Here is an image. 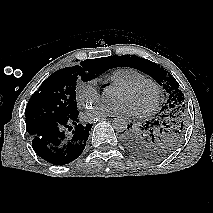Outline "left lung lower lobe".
<instances>
[{"label": "left lung lower lobe", "instance_id": "left-lung-lower-lobe-1", "mask_svg": "<svg viewBox=\"0 0 213 213\" xmlns=\"http://www.w3.org/2000/svg\"><path fill=\"white\" fill-rule=\"evenodd\" d=\"M150 122H146L142 127L139 129L132 128V124L128 125V130L124 131L123 133V143L128 150L132 153L136 154L141 151V135L146 130L150 129Z\"/></svg>", "mask_w": 213, "mask_h": 213}]
</instances>
